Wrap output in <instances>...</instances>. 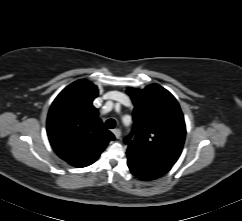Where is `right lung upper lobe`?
I'll use <instances>...</instances> for the list:
<instances>
[{
  "label": "right lung upper lobe",
  "mask_w": 242,
  "mask_h": 221,
  "mask_svg": "<svg viewBox=\"0 0 242 221\" xmlns=\"http://www.w3.org/2000/svg\"><path fill=\"white\" fill-rule=\"evenodd\" d=\"M97 87L85 80L67 86L52 103L47 133L57 155L70 165L82 168L92 164L114 140L92 105Z\"/></svg>",
  "instance_id": "obj_1"
}]
</instances>
